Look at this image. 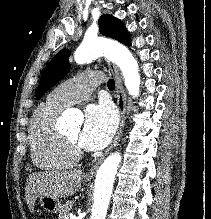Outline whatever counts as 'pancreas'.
I'll list each match as a JSON object with an SVG mask.
<instances>
[{
    "instance_id": "obj_1",
    "label": "pancreas",
    "mask_w": 211,
    "mask_h": 219,
    "mask_svg": "<svg viewBox=\"0 0 211 219\" xmlns=\"http://www.w3.org/2000/svg\"><path fill=\"white\" fill-rule=\"evenodd\" d=\"M70 209H71V202L67 201L65 204L61 206V209L59 210L58 219H65V217L68 216Z\"/></svg>"
}]
</instances>
